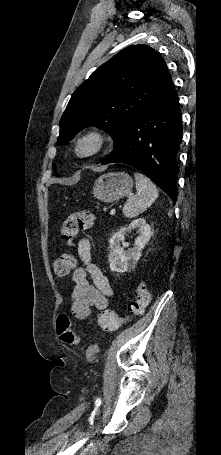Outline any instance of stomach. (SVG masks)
Segmentation results:
<instances>
[{"label": "stomach", "mask_w": 221, "mask_h": 455, "mask_svg": "<svg viewBox=\"0 0 221 455\" xmlns=\"http://www.w3.org/2000/svg\"><path fill=\"white\" fill-rule=\"evenodd\" d=\"M132 187L133 180L127 173H107L95 181L92 193L105 203H113L127 196Z\"/></svg>", "instance_id": "1"}]
</instances>
